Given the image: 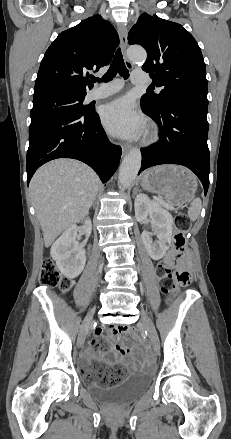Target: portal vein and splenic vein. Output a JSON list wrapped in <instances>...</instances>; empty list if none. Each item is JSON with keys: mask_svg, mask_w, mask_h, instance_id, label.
I'll use <instances>...</instances> for the list:
<instances>
[{"mask_svg": "<svg viewBox=\"0 0 231 439\" xmlns=\"http://www.w3.org/2000/svg\"><path fill=\"white\" fill-rule=\"evenodd\" d=\"M154 198H155L156 200H161V198H160V197H156V196H154Z\"/></svg>", "mask_w": 231, "mask_h": 439, "instance_id": "18ae733b", "label": "portal vein and splenic vein"}]
</instances>
